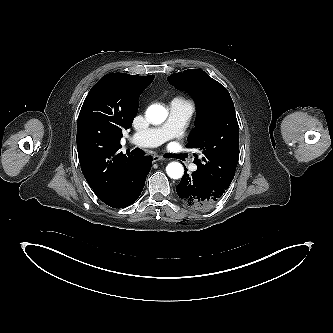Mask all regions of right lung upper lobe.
Instances as JSON below:
<instances>
[{
	"instance_id": "right-lung-upper-lobe-1",
	"label": "right lung upper lobe",
	"mask_w": 333,
	"mask_h": 333,
	"mask_svg": "<svg viewBox=\"0 0 333 333\" xmlns=\"http://www.w3.org/2000/svg\"><path fill=\"white\" fill-rule=\"evenodd\" d=\"M154 75L113 73L89 91L77 121V150L83 175L104 202L118 190L126 163L134 156L119 151L122 132L131 128L138 98Z\"/></svg>"
}]
</instances>
